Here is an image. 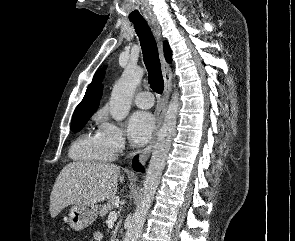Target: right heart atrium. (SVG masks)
<instances>
[{"label":"right heart atrium","mask_w":295,"mask_h":241,"mask_svg":"<svg viewBox=\"0 0 295 241\" xmlns=\"http://www.w3.org/2000/svg\"><path fill=\"white\" fill-rule=\"evenodd\" d=\"M99 131L103 134L113 155L122 151L125 147V136L122 128L109 120L104 110L97 114Z\"/></svg>","instance_id":"d8ad5b80"}]
</instances>
